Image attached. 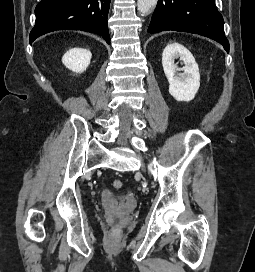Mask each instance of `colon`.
<instances>
[{
    "label": "colon",
    "instance_id": "obj_1",
    "mask_svg": "<svg viewBox=\"0 0 255 272\" xmlns=\"http://www.w3.org/2000/svg\"><path fill=\"white\" fill-rule=\"evenodd\" d=\"M122 186H123V182L121 180L116 179L113 181V187L115 189H120V188H122Z\"/></svg>",
    "mask_w": 255,
    "mask_h": 272
}]
</instances>
